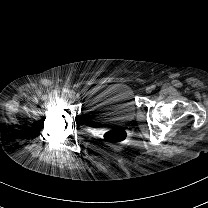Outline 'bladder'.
Returning a JSON list of instances; mask_svg holds the SVG:
<instances>
[{
    "label": "bladder",
    "instance_id": "1",
    "mask_svg": "<svg viewBox=\"0 0 208 208\" xmlns=\"http://www.w3.org/2000/svg\"><path fill=\"white\" fill-rule=\"evenodd\" d=\"M133 94L130 87L123 84H111L95 87L91 90L90 119L132 116L134 114Z\"/></svg>",
    "mask_w": 208,
    "mask_h": 208
}]
</instances>
